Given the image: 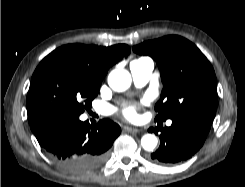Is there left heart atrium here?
<instances>
[{
	"label": "left heart atrium",
	"instance_id": "obj_1",
	"mask_svg": "<svg viewBox=\"0 0 245 187\" xmlns=\"http://www.w3.org/2000/svg\"><path fill=\"white\" fill-rule=\"evenodd\" d=\"M146 101H142V104H145ZM138 106L135 104L124 105L121 109L122 115L129 120H134L137 117Z\"/></svg>",
	"mask_w": 245,
	"mask_h": 187
}]
</instances>
